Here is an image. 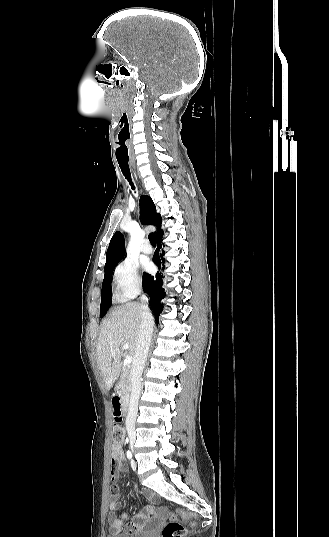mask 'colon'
I'll return each mask as SVG.
<instances>
[{"instance_id":"colon-1","label":"colon","mask_w":329,"mask_h":537,"mask_svg":"<svg viewBox=\"0 0 329 537\" xmlns=\"http://www.w3.org/2000/svg\"><path fill=\"white\" fill-rule=\"evenodd\" d=\"M112 405H113V412H114V405H116V398L112 399ZM124 439V429L119 424H114L112 428V441L114 444H120L123 442ZM169 518L171 519L162 530V537H183L185 529L184 526L176 521L183 520L188 518L196 519L199 516L198 511L193 510L188 513V511L183 509H172L168 513Z\"/></svg>"}]
</instances>
